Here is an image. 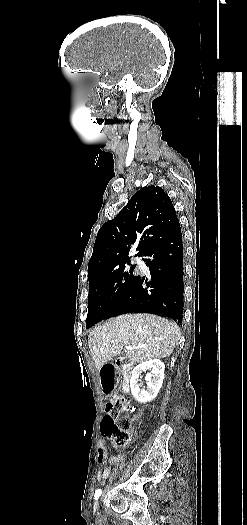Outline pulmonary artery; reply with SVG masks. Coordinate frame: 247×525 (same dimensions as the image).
Here are the masks:
<instances>
[{
	"label": "pulmonary artery",
	"mask_w": 247,
	"mask_h": 525,
	"mask_svg": "<svg viewBox=\"0 0 247 525\" xmlns=\"http://www.w3.org/2000/svg\"><path fill=\"white\" fill-rule=\"evenodd\" d=\"M133 261H141V259L140 258H135V259H133Z\"/></svg>",
	"instance_id": "obj_1"
}]
</instances>
